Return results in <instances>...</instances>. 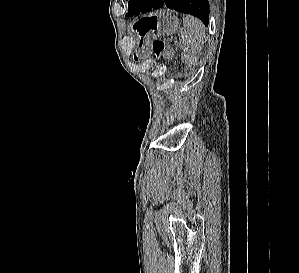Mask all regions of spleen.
Returning <instances> with one entry per match:
<instances>
[{
  "instance_id": "obj_1",
  "label": "spleen",
  "mask_w": 299,
  "mask_h": 273,
  "mask_svg": "<svg viewBox=\"0 0 299 273\" xmlns=\"http://www.w3.org/2000/svg\"><path fill=\"white\" fill-rule=\"evenodd\" d=\"M182 37L180 47L183 51L195 55L201 52L205 38V27L203 23L191 16L183 19V27L179 30Z\"/></svg>"
}]
</instances>
